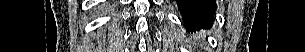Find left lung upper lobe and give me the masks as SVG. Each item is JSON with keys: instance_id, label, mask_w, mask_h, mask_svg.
Here are the masks:
<instances>
[{"instance_id": "1", "label": "left lung upper lobe", "mask_w": 305, "mask_h": 52, "mask_svg": "<svg viewBox=\"0 0 305 52\" xmlns=\"http://www.w3.org/2000/svg\"><path fill=\"white\" fill-rule=\"evenodd\" d=\"M184 17V25L185 24H197L206 20L207 14L201 12L198 9L184 10L181 12Z\"/></svg>"}]
</instances>
